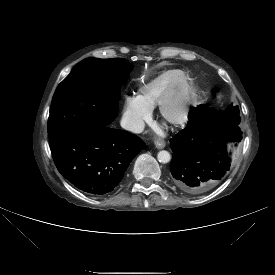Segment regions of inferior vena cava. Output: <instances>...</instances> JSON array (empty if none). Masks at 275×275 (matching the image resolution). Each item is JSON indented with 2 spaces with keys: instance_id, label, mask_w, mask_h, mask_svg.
Masks as SVG:
<instances>
[{
  "instance_id": "obj_1",
  "label": "inferior vena cava",
  "mask_w": 275,
  "mask_h": 275,
  "mask_svg": "<svg viewBox=\"0 0 275 275\" xmlns=\"http://www.w3.org/2000/svg\"><path fill=\"white\" fill-rule=\"evenodd\" d=\"M121 127L125 130L134 132V133H141L144 130V122L143 120L132 117V116H123L121 119Z\"/></svg>"
}]
</instances>
